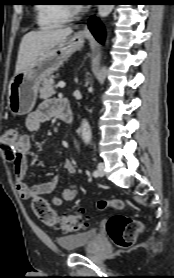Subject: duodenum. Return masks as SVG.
Masks as SVG:
<instances>
[{
  "label": "duodenum",
  "instance_id": "obj_1",
  "mask_svg": "<svg viewBox=\"0 0 174 278\" xmlns=\"http://www.w3.org/2000/svg\"><path fill=\"white\" fill-rule=\"evenodd\" d=\"M57 114L65 122L73 121L72 111L70 108L69 101L67 99L59 100L57 106Z\"/></svg>",
  "mask_w": 174,
  "mask_h": 278
}]
</instances>
